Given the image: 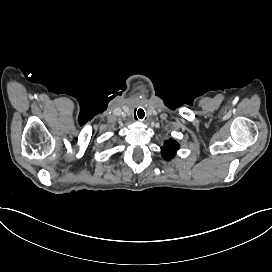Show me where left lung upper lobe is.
Masks as SVG:
<instances>
[{
    "instance_id": "5c2ea615",
    "label": "left lung upper lobe",
    "mask_w": 272,
    "mask_h": 272,
    "mask_svg": "<svg viewBox=\"0 0 272 272\" xmlns=\"http://www.w3.org/2000/svg\"><path fill=\"white\" fill-rule=\"evenodd\" d=\"M179 144L173 139L166 140L164 146L161 147V153L164 159L171 160L179 149Z\"/></svg>"
}]
</instances>
